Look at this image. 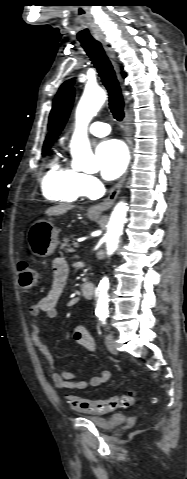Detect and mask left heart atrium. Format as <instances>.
Here are the masks:
<instances>
[{"mask_svg":"<svg viewBox=\"0 0 187 479\" xmlns=\"http://www.w3.org/2000/svg\"><path fill=\"white\" fill-rule=\"evenodd\" d=\"M101 174L106 180L119 177L125 170L128 154L124 144L116 139L104 140L96 147Z\"/></svg>","mask_w":187,"mask_h":479,"instance_id":"39dd6f15","label":"left heart atrium"}]
</instances>
